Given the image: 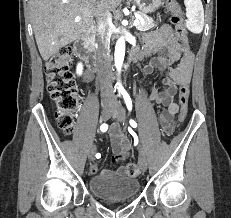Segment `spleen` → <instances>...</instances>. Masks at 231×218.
I'll list each match as a JSON object with an SVG mask.
<instances>
[{"mask_svg":"<svg viewBox=\"0 0 231 218\" xmlns=\"http://www.w3.org/2000/svg\"><path fill=\"white\" fill-rule=\"evenodd\" d=\"M186 7V27L195 34L202 32L204 27V9L201 0H184Z\"/></svg>","mask_w":231,"mask_h":218,"instance_id":"1","label":"spleen"}]
</instances>
